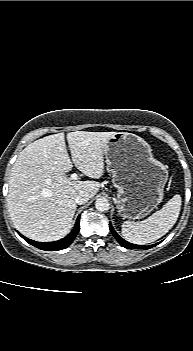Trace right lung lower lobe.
I'll list each match as a JSON object with an SVG mask.
<instances>
[{
	"instance_id": "98d812e1",
	"label": "right lung lower lobe",
	"mask_w": 193,
	"mask_h": 351,
	"mask_svg": "<svg viewBox=\"0 0 193 351\" xmlns=\"http://www.w3.org/2000/svg\"><path fill=\"white\" fill-rule=\"evenodd\" d=\"M79 229H80V216L77 218L76 224H75L73 230L71 231V233L59 241L48 242V243L37 242V241L26 238L25 236L21 235L19 232H18V234L24 240H26L29 244H31V245H33L41 250L57 251V250H62V249L67 248L75 239L76 235L79 232Z\"/></svg>"
}]
</instances>
